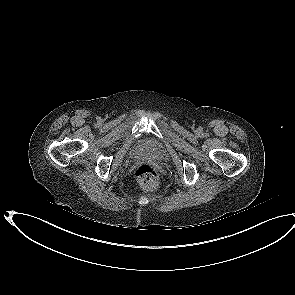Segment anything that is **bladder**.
<instances>
[{
    "instance_id": "obj_1",
    "label": "bladder",
    "mask_w": 295,
    "mask_h": 295,
    "mask_svg": "<svg viewBox=\"0 0 295 295\" xmlns=\"http://www.w3.org/2000/svg\"><path fill=\"white\" fill-rule=\"evenodd\" d=\"M137 156H144L152 160L162 161L166 156L164 146L155 140H144L134 149Z\"/></svg>"
}]
</instances>
